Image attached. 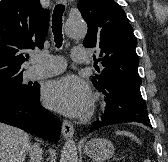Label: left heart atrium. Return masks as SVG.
Masks as SVG:
<instances>
[{
    "mask_svg": "<svg viewBox=\"0 0 168 162\" xmlns=\"http://www.w3.org/2000/svg\"><path fill=\"white\" fill-rule=\"evenodd\" d=\"M45 104L69 116L84 114L91 105L88 85L74 75L49 82L43 90Z\"/></svg>",
    "mask_w": 168,
    "mask_h": 162,
    "instance_id": "left-heart-atrium-1",
    "label": "left heart atrium"
}]
</instances>
